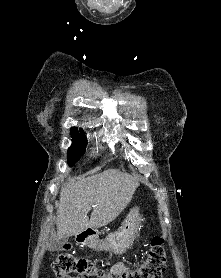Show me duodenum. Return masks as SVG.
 <instances>
[{
    "mask_svg": "<svg viewBox=\"0 0 221 278\" xmlns=\"http://www.w3.org/2000/svg\"><path fill=\"white\" fill-rule=\"evenodd\" d=\"M92 235H93L92 229L91 228H87V229H85L84 231H82L78 235V241L81 244H84V243L88 242L92 238Z\"/></svg>",
    "mask_w": 221,
    "mask_h": 278,
    "instance_id": "1",
    "label": "duodenum"
}]
</instances>
